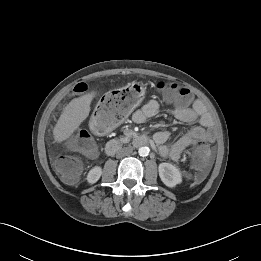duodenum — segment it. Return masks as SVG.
<instances>
[{
    "label": "duodenum",
    "instance_id": "duodenum-1",
    "mask_svg": "<svg viewBox=\"0 0 261 261\" xmlns=\"http://www.w3.org/2000/svg\"><path fill=\"white\" fill-rule=\"evenodd\" d=\"M132 143L135 146H143V145L148 143V137L143 135V134H139V135L135 136L132 139ZM121 146L122 145H121L120 141H118V140H110L105 145V153L107 155H113L118 150H120Z\"/></svg>",
    "mask_w": 261,
    "mask_h": 261
}]
</instances>
